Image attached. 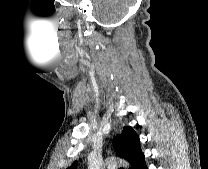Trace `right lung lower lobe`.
Here are the masks:
<instances>
[{"label": "right lung lower lobe", "mask_w": 208, "mask_h": 169, "mask_svg": "<svg viewBox=\"0 0 208 169\" xmlns=\"http://www.w3.org/2000/svg\"><path fill=\"white\" fill-rule=\"evenodd\" d=\"M135 169H148L145 163V159H143Z\"/></svg>", "instance_id": "obj_1"}]
</instances>
